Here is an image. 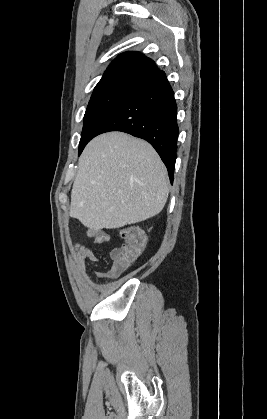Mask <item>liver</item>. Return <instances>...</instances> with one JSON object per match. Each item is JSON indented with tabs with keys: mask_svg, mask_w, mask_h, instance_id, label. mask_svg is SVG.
<instances>
[{
	"mask_svg": "<svg viewBox=\"0 0 267 419\" xmlns=\"http://www.w3.org/2000/svg\"><path fill=\"white\" fill-rule=\"evenodd\" d=\"M168 194L167 170L154 148L108 132L80 156L69 214L90 230L120 228L159 214Z\"/></svg>",
	"mask_w": 267,
	"mask_h": 419,
	"instance_id": "1",
	"label": "liver"
}]
</instances>
